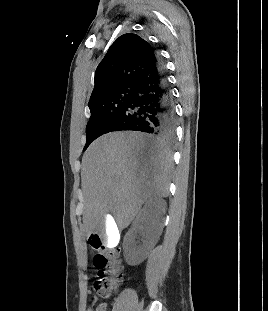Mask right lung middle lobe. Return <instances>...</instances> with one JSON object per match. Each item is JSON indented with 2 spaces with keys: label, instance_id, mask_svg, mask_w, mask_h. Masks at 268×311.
<instances>
[{
  "label": "right lung middle lobe",
  "instance_id": "obj_1",
  "mask_svg": "<svg viewBox=\"0 0 268 311\" xmlns=\"http://www.w3.org/2000/svg\"><path fill=\"white\" fill-rule=\"evenodd\" d=\"M134 92V86L120 88L89 104L91 117L86 126L87 147L98 137L106 134L109 126L124 110Z\"/></svg>",
  "mask_w": 268,
  "mask_h": 311
}]
</instances>
